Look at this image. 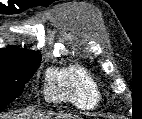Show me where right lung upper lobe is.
Segmentation results:
<instances>
[{"label": "right lung upper lobe", "instance_id": "right-lung-upper-lobe-1", "mask_svg": "<svg viewBox=\"0 0 142 119\" xmlns=\"http://www.w3.org/2000/svg\"><path fill=\"white\" fill-rule=\"evenodd\" d=\"M40 60V55L26 49H19L16 47L0 49V68L26 65L39 62Z\"/></svg>", "mask_w": 142, "mask_h": 119}]
</instances>
